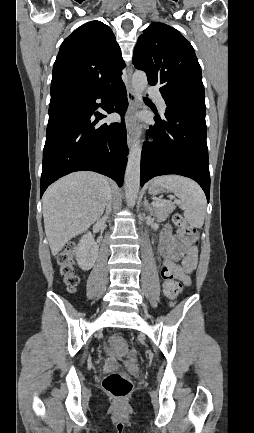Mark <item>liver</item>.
<instances>
[{"mask_svg": "<svg viewBox=\"0 0 254 433\" xmlns=\"http://www.w3.org/2000/svg\"><path fill=\"white\" fill-rule=\"evenodd\" d=\"M109 194L108 178L88 171L69 174L46 190L44 228L53 256L101 217Z\"/></svg>", "mask_w": 254, "mask_h": 433, "instance_id": "liver-1", "label": "liver"}]
</instances>
